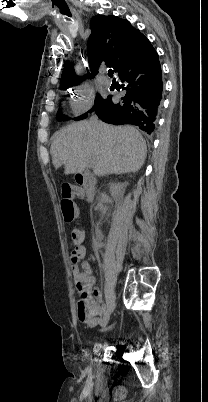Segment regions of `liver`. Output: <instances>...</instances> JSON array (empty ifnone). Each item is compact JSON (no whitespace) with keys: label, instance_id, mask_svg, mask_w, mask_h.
<instances>
[{"label":"liver","instance_id":"6515ba94","mask_svg":"<svg viewBox=\"0 0 208 402\" xmlns=\"http://www.w3.org/2000/svg\"><path fill=\"white\" fill-rule=\"evenodd\" d=\"M54 168L65 166L64 174H82L87 162L94 164V174H128L142 168L146 142L133 126H91L88 120L64 128L51 144ZM108 152L107 158H103Z\"/></svg>","mask_w":208,"mask_h":402}]
</instances>
